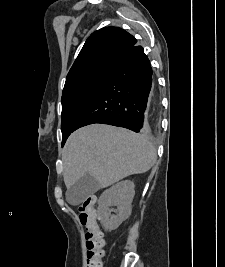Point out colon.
<instances>
[{
    "label": "colon",
    "instance_id": "obj_1",
    "mask_svg": "<svg viewBox=\"0 0 225 267\" xmlns=\"http://www.w3.org/2000/svg\"><path fill=\"white\" fill-rule=\"evenodd\" d=\"M94 198L88 197L80 205V220L86 227V261L85 267H103L105 255L104 235L96 222Z\"/></svg>",
    "mask_w": 225,
    "mask_h": 267
}]
</instances>
